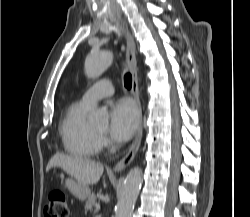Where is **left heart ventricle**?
Masks as SVG:
<instances>
[{
	"label": "left heart ventricle",
	"instance_id": "obj_1",
	"mask_svg": "<svg viewBox=\"0 0 250 217\" xmlns=\"http://www.w3.org/2000/svg\"><path fill=\"white\" fill-rule=\"evenodd\" d=\"M107 127L104 126H99V127H95V130L100 132V133H105L106 132Z\"/></svg>",
	"mask_w": 250,
	"mask_h": 217
}]
</instances>
